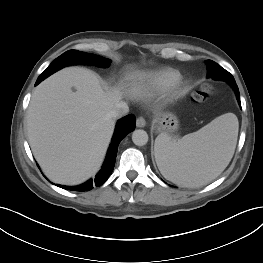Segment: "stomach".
Segmentation results:
<instances>
[{"label": "stomach", "instance_id": "obj_1", "mask_svg": "<svg viewBox=\"0 0 263 263\" xmlns=\"http://www.w3.org/2000/svg\"><path fill=\"white\" fill-rule=\"evenodd\" d=\"M153 125L157 131L171 132L177 129L178 120L172 113H163L155 118Z\"/></svg>", "mask_w": 263, "mask_h": 263}]
</instances>
